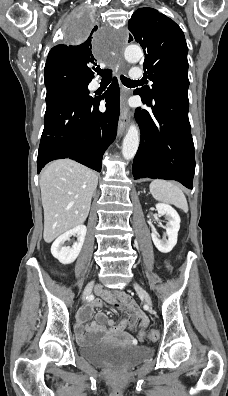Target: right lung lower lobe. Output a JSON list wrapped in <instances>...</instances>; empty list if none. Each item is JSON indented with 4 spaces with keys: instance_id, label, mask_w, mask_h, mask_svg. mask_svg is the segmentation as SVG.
I'll return each mask as SVG.
<instances>
[{
    "instance_id": "right-lung-lower-lobe-1",
    "label": "right lung lower lobe",
    "mask_w": 228,
    "mask_h": 396,
    "mask_svg": "<svg viewBox=\"0 0 228 396\" xmlns=\"http://www.w3.org/2000/svg\"><path fill=\"white\" fill-rule=\"evenodd\" d=\"M119 96L114 78L102 98L93 99L88 93L75 92L46 108L37 158L38 173L48 162L62 158L100 172L103 154L116 137ZM101 99L106 103L105 113L98 110Z\"/></svg>"
}]
</instances>
